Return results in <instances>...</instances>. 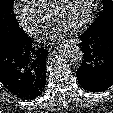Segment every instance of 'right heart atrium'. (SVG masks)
Returning a JSON list of instances; mask_svg holds the SVG:
<instances>
[{"label":"right heart atrium","instance_id":"1","mask_svg":"<svg viewBox=\"0 0 113 113\" xmlns=\"http://www.w3.org/2000/svg\"><path fill=\"white\" fill-rule=\"evenodd\" d=\"M14 12L19 23L28 34L37 36L42 32L47 21V15L26 3L15 4Z\"/></svg>","mask_w":113,"mask_h":113}]
</instances>
